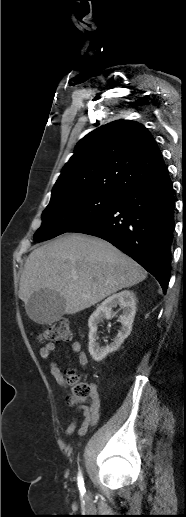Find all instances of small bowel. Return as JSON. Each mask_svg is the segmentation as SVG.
<instances>
[{
  "instance_id": "obj_1",
  "label": "small bowel",
  "mask_w": 186,
  "mask_h": 517,
  "mask_svg": "<svg viewBox=\"0 0 186 517\" xmlns=\"http://www.w3.org/2000/svg\"><path fill=\"white\" fill-rule=\"evenodd\" d=\"M55 348H56L55 343H47L46 345L41 347L39 350V355H40L41 359L49 360L50 355L55 350ZM71 348H72V351L75 354H77L78 362H79L80 366L83 369H86L87 365H88V357L83 352L81 344L78 341H74L71 345ZM50 372H51L52 376L55 378L56 382L60 386H65L66 380L64 378L61 368L58 366L57 363H55V362L50 363ZM93 390H94V396H93L94 402L92 403V405L90 407L83 406V405L77 406V410L81 411L83 414V421L78 429V434L81 436L85 435L91 426L96 425L98 422V419H99L100 403L98 400V395H97L95 385H93ZM77 425H78L77 418H73L66 428V431H65L66 435H68V436L72 435L75 432V430L77 429Z\"/></svg>"
}]
</instances>
